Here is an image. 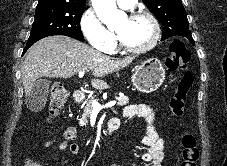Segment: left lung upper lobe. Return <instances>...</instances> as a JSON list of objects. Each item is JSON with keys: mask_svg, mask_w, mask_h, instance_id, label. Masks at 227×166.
I'll list each match as a JSON object with an SVG mask.
<instances>
[{"mask_svg": "<svg viewBox=\"0 0 227 166\" xmlns=\"http://www.w3.org/2000/svg\"><path fill=\"white\" fill-rule=\"evenodd\" d=\"M164 26L162 40L184 36L194 42L185 9L181 0H142Z\"/></svg>", "mask_w": 227, "mask_h": 166, "instance_id": "left-lung-upper-lobe-1", "label": "left lung upper lobe"}]
</instances>
